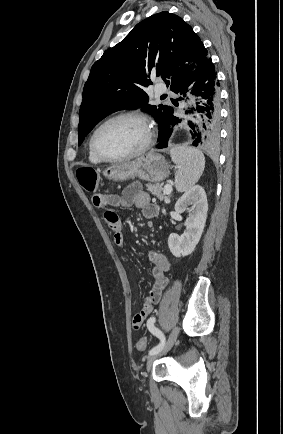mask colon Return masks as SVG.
I'll return each instance as SVG.
<instances>
[{
  "mask_svg": "<svg viewBox=\"0 0 283 434\" xmlns=\"http://www.w3.org/2000/svg\"><path fill=\"white\" fill-rule=\"evenodd\" d=\"M77 179L84 190L90 193L96 192L98 188V173L91 168H80L77 170ZM147 338L145 336L139 338L136 343V348L139 351H144L147 348Z\"/></svg>",
  "mask_w": 283,
  "mask_h": 434,
  "instance_id": "colon-1",
  "label": "colon"
}]
</instances>
